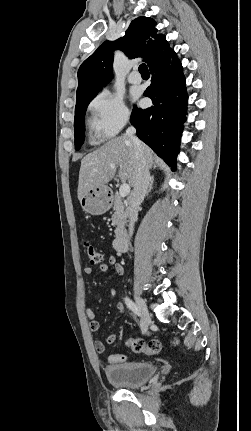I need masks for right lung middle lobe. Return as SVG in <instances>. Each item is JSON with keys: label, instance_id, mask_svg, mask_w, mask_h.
<instances>
[{"label": "right lung middle lobe", "instance_id": "1", "mask_svg": "<svg viewBox=\"0 0 251 431\" xmlns=\"http://www.w3.org/2000/svg\"><path fill=\"white\" fill-rule=\"evenodd\" d=\"M99 91L78 97L76 100L75 107V119H74V131H75V148L79 150L84 142V130H85V113L88 104L91 100L96 97Z\"/></svg>", "mask_w": 251, "mask_h": 431}]
</instances>
